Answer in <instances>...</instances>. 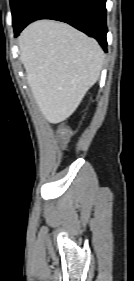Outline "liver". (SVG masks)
Listing matches in <instances>:
<instances>
[{
	"instance_id": "6515ba94",
	"label": "liver",
	"mask_w": 134,
	"mask_h": 281,
	"mask_svg": "<svg viewBox=\"0 0 134 281\" xmlns=\"http://www.w3.org/2000/svg\"><path fill=\"white\" fill-rule=\"evenodd\" d=\"M27 82L45 119L68 118L96 83L104 52L98 42L66 23L39 20L18 38Z\"/></svg>"
}]
</instances>
